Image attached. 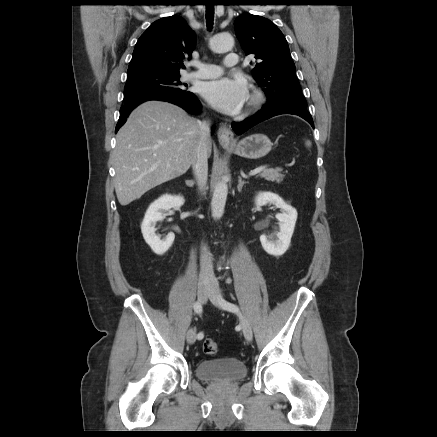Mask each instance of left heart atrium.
Here are the masks:
<instances>
[{
    "label": "left heart atrium",
    "mask_w": 437,
    "mask_h": 437,
    "mask_svg": "<svg viewBox=\"0 0 437 437\" xmlns=\"http://www.w3.org/2000/svg\"><path fill=\"white\" fill-rule=\"evenodd\" d=\"M202 96L212 106L226 114H237L248 99L247 83L243 79L220 78L206 82Z\"/></svg>",
    "instance_id": "39dd6f15"
}]
</instances>
